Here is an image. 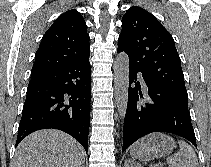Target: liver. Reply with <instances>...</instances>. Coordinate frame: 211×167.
I'll return each mask as SVG.
<instances>
[{"instance_id":"obj_1","label":"liver","mask_w":211,"mask_h":167,"mask_svg":"<svg viewBox=\"0 0 211 167\" xmlns=\"http://www.w3.org/2000/svg\"><path fill=\"white\" fill-rule=\"evenodd\" d=\"M83 147L68 134L54 129L34 132L18 145L12 167H81Z\"/></svg>"}]
</instances>
